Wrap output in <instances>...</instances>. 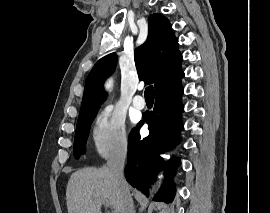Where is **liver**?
<instances>
[{
  "label": "liver",
  "mask_w": 270,
  "mask_h": 213,
  "mask_svg": "<svg viewBox=\"0 0 270 213\" xmlns=\"http://www.w3.org/2000/svg\"><path fill=\"white\" fill-rule=\"evenodd\" d=\"M101 199L114 212L121 213V191L106 166L87 167L72 173L66 189L68 213H101Z\"/></svg>",
  "instance_id": "6515ba94"
}]
</instances>
